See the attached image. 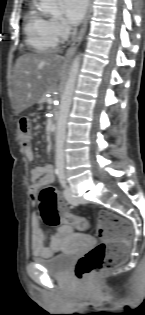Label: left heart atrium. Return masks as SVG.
I'll use <instances>...</instances> for the list:
<instances>
[{"label":"left heart atrium","mask_w":145,"mask_h":315,"mask_svg":"<svg viewBox=\"0 0 145 315\" xmlns=\"http://www.w3.org/2000/svg\"><path fill=\"white\" fill-rule=\"evenodd\" d=\"M88 0H61L65 20L70 25H77L83 18Z\"/></svg>","instance_id":"left-heart-atrium-1"}]
</instances>
